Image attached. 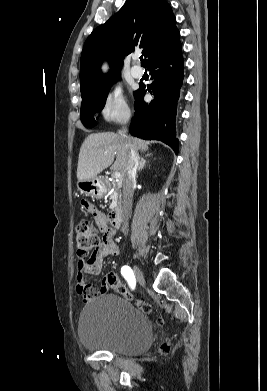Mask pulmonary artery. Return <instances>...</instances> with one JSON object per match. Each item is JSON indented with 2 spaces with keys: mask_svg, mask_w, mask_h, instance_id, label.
Here are the masks:
<instances>
[{
  "mask_svg": "<svg viewBox=\"0 0 267 391\" xmlns=\"http://www.w3.org/2000/svg\"><path fill=\"white\" fill-rule=\"evenodd\" d=\"M135 59L137 60L138 57H136ZM131 74L135 78H141L144 74V70L141 67L135 65L131 68Z\"/></svg>",
  "mask_w": 267,
  "mask_h": 391,
  "instance_id": "e3ab8cb5",
  "label": "pulmonary artery"
}]
</instances>
